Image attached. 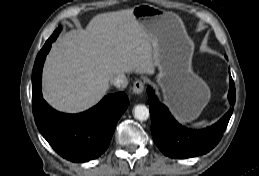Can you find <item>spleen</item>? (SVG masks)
I'll list each match as a JSON object with an SVG mask.
<instances>
[{"mask_svg": "<svg viewBox=\"0 0 259 176\" xmlns=\"http://www.w3.org/2000/svg\"><path fill=\"white\" fill-rule=\"evenodd\" d=\"M207 124H208V121L204 120V121H200V122L194 123L191 126L193 128H200V127L206 126Z\"/></svg>", "mask_w": 259, "mask_h": 176, "instance_id": "3e777b00", "label": "spleen"}]
</instances>
